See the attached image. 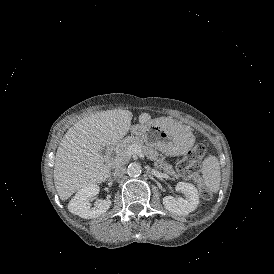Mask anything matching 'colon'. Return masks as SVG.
<instances>
[{"label":"colon","instance_id":"obj_1","mask_svg":"<svg viewBox=\"0 0 274 274\" xmlns=\"http://www.w3.org/2000/svg\"><path fill=\"white\" fill-rule=\"evenodd\" d=\"M205 150L203 144H197L192 147L185 158L177 164L178 172L187 177L198 178L200 172L198 162L203 158ZM204 196L210 198L212 195L205 189Z\"/></svg>","mask_w":274,"mask_h":274}]
</instances>
